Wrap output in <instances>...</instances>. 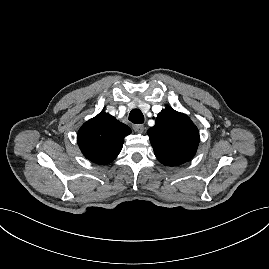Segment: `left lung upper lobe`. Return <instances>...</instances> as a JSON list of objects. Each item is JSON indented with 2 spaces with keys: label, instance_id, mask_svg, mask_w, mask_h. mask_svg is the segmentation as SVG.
I'll use <instances>...</instances> for the list:
<instances>
[{
  "label": "left lung upper lobe",
  "instance_id": "left-lung-upper-lobe-1",
  "mask_svg": "<svg viewBox=\"0 0 269 269\" xmlns=\"http://www.w3.org/2000/svg\"><path fill=\"white\" fill-rule=\"evenodd\" d=\"M147 134L155 156L164 165L176 166L189 161L199 144V131L190 118L167 107L156 118Z\"/></svg>",
  "mask_w": 269,
  "mask_h": 269
}]
</instances>
